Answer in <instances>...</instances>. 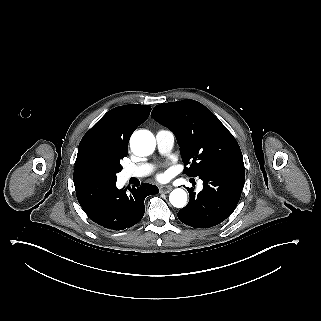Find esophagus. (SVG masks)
<instances>
[{
  "instance_id": "obj_1",
  "label": "esophagus",
  "mask_w": 321,
  "mask_h": 321,
  "mask_svg": "<svg viewBox=\"0 0 321 321\" xmlns=\"http://www.w3.org/2000/svg\"><path fill=\"white\" fill-rule=\"evenodd\" d=\"M171 190H172V187L170 185L161 186L159 188L160 193H164V194L169 193Z\"/></svg>"
}]
</instances>
